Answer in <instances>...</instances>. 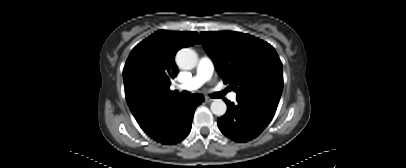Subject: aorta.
Here are the masks:
<instances>
[{
  "instance_id": "obj_1",
  "label": "aorta",
  "mask_w": 406,
  "mask_h": 168,
  "mask_svg": "<svg viewBox=\"0 0 406 168\" xmlns=\"http://www.w3.org/2000/svg\"><path fill=\"white\" fill-rule=\"evenodd\" d=\"M176 63L182 69H192L198 63V55L191 48H183L176 54ZM212 113L216 116H222L226 113L227 106L222 99H215L210 105Z\"/></svg>"
}]
</instances>
